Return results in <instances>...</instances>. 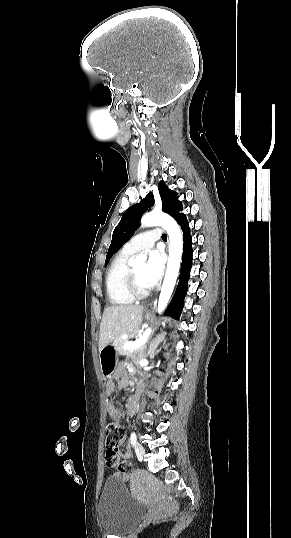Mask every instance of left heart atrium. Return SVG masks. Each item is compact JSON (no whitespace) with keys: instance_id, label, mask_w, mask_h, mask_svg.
Instances as JSON below:
<instances>
[{"instance_id":"left-heart-atrium-1","label":"left heart atrium","mask_w":291,"mask_h":538,"mask_svg":"<svg viewBox=\"0 0 291 538\" xmlns=\"http://www.w3.org/2000/svg\"><path fill=\"white\" fill-rule=\"evenodd\" d=\"M164 263V257L159 251L153 250L149 253L144 278L150 288L154 287L161 279L164 272Z\"/></svg>"}]
</instances>
